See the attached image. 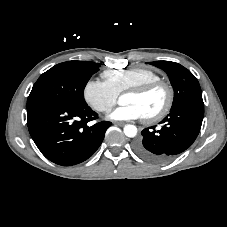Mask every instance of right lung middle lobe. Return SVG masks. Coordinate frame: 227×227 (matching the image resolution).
<instances>
[{
  "label": "right lung middle lobe",
  "instance_id": "dd1d6c3e",
  "mask_svg": "<svg viewBox=\"0 0 227 227\" xmlns=\"http://www.w3.org/2000/svg\"><path fill=\"white\" fill-rule=\"evenodd\" d=\"M99 65L88 61H67L43 73L34 84L27 107L43 101L85 106L83 90Z\"/></svg>",
  "mask_w": 227,
  "mask_h": 227
}]
</instances>
